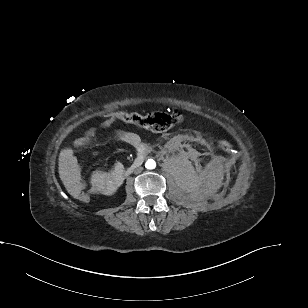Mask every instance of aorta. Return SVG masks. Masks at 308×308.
Listing matches in <instances>:
<instances>
[{"instance_id":"aorta-1","label":"aorta","mask_w":308,"mask_h":308,"mask_svg":"<svg viewBox=\"0 0 308 308\" xmlns=\"http://www.w3.org/2000/svg\"><path fill=\"white\" fill-rule=\"evenodd\" d=\"M147 169H154L156 167V162L153 159H148L145 163Z\"/></svg>"}]
</instances>
